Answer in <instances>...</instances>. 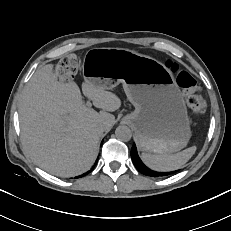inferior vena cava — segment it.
Segmentation results:
<instances>
[{
	"instance_id": "602c4592",
	"label": "inferior vena cava",
	"mask_w": 231,
	"mask_h": 231,
	"mask_svg": "<svg viewBox=\"0 0 231 231\" xmlns=\"http://www.w3.org/2000/svg\"><path fill=\"white\" fill-rule=\"evenodd\" d=\"M99 128H100V129H104V125H103V124H100V125H99Z\"/></svg>"
}]
</instances>
